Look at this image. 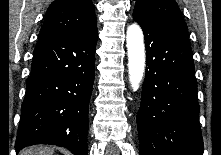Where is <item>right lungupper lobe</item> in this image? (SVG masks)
<instances>
[{
	"label": "right lung upper lobe",
	"mask_w": 221,
	"mask_h": 155,
	"mask_svg": "<svg viewBox=\"0 0 221 155\" xmlns=\"http://www.w3.org/2000/svg\"><path fill=\"white\" fill-rule=\"evenodd\" d=\"M96 25L90 0H55L49 6L40 37L80 32Z\"/></svg>",
	"instance_id": "right-lung-upper-lobe-1"
}]
</instances>
